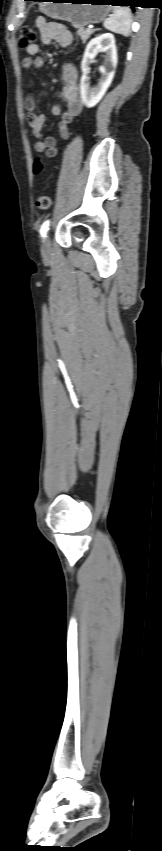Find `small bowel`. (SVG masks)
I'll return each instance as SVG.
<instances>
[{"mask_svg": "<svg viewBox=\"0 0 162 851\" xmlns=\"http://www.w3.org/2000/svg\"><path fill=\"white\" fill-rule=\"evenodd\" d=\"M36 25L40 31L41 41L45 44L56 42L61 47L66 48L73 43V36L71 32L60 23L49 22L45 18L40 17L36 20ZM26 51L29 55L34 56V58L25 59L23 62L24 68L40 69L44 66V58L38 55L40 51L38 44L30 46L26 49ZM62 77V97L65 102L66 109L63 111L59 104H53L51 107V113L54 116H60L57 128L60 137L66 141L70 137V126L73 124L75 118L81 114L83 104L79 98L77 85L78 76L75 67L71 64L64 65ZM25 108L28 113L27 119L30 130L37 138L34 144L36 152L45 153L48 157H55L58 155L60 147L54 137H42V128L45 122V117L43 114L36 112V101L34 97L28 96L25 99Z\"/></svg>", "mask_w": 162, "mask_h": 851, "instance_id": "c3829d8e", "label": "small bowel"}]
</instances>
